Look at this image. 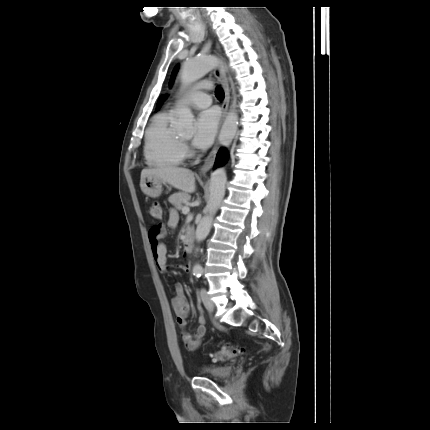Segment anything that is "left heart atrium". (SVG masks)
Listing matches in <instances>:
<instances>
[{"mask_svg": "<svg viewBox=\"0 0 430 430\" xmlns=\"http://www.w3.org/2000/svg\"><path fill=\"white\" fill-rule=\"evenodd\" d=\"M219 124V114L215 109L201 112L195 124L193 143L198 148L209 147L215 137Z\"/></svg>", "mask_w": 430, "mask_h": 430, "instance_id": "left-heart-atrium-1", "label": "left heart atrium"}]
</instances>
